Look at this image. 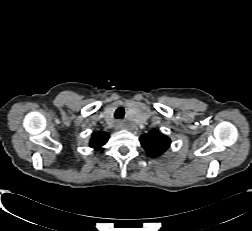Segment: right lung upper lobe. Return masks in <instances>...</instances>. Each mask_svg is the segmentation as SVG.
Wrapping results in <instances>:
<instances>
[{"label":"right lung upper lobe","instance_id":"cb5924a9","mask_svg":"<svg viewBox=\"0 0 252 231\" xmlns=\"http://www.w3.org/2000/svg\"><path fill=\"white\" fill-rule=\"evenodd\" d=\"M109 135L105 132H96L92 135L90 147L99 150L107 141Z\"/></svg>","mask_w":252,"mask_h":231}]
</instances>
